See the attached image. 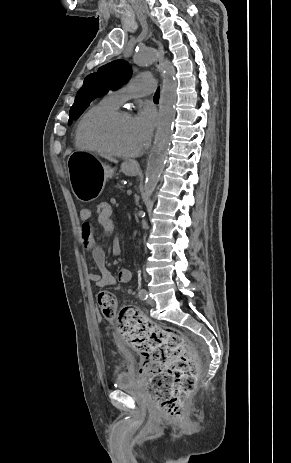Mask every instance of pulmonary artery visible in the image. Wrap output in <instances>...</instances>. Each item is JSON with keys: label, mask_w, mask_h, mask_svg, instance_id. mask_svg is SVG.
<instances>
[{"label": "pulmonary artery", "mask_w": 291, "mask_h": 463, "mask_svg": "<svg viewBox=\"0 0 291 463\" xmlns=\"http://www.w3.org/2000/svg\"><path fill=\"white\" fill-rule=\"evenodd\" d=\"M154 91V78L149 74H139L133 77L125 86L112 91L109 98L118 106L129 99L146 96Z\"/></svg>", "instance_id": "1"}]
</instances>
